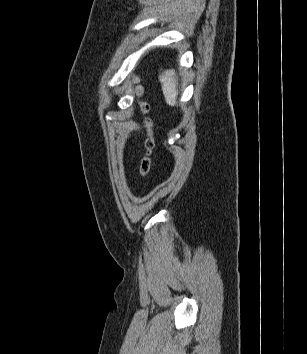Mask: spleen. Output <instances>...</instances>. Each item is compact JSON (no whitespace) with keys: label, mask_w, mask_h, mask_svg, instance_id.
Wrapping results in <instances>:
<instances>
[{"label":"spleen","mask_w":307,"mask_h":354,"mask_svg":"<svg viewBox=\"0 0 307 354\" xmlns=\"http://www.w3.org/2000/svg\"><path fill=\"white\" fill-rule=\"evenodd\" d=\"M159 81L162 86L163 95L168 105L176 104L178 95V80L174 70H166L159 75Z\"/></svg>","instance_id":"3e777b00"}]
</instances>
